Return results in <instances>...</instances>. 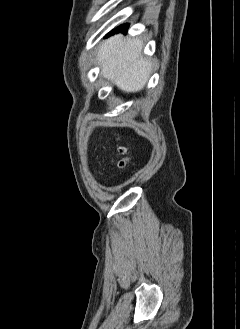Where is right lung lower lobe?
<instances>
[{"mask_svg": "<svg viewBox=\"0 0 240 329\" xmlns=\"http://www.w3.org/2000/svg\"><path fill=\"white\" fill-rule=\"evenodd\" d=\"M128 27H129V24L121 25V26H119V27H117V28L115 29V32H116V33H118V32H126L127 29H128Z\"/></svg>", "mask_w": 240, "mask_h": 329, "instance_id": "98d812e1", "label": "right lung lower lobe"}]
</instances>
